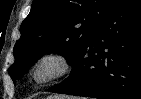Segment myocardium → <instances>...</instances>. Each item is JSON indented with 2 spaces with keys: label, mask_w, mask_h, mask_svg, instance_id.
<instances>
[{
  "label": "myocardium",
  "mask_w": 141,
  "mask_h": 99,
  "mask_svg": "<svg viewBox=\"0 0 141 99\" xmlns=\"http://www.w3.org/2000/svg\"><path fill=\"white\" fill-rule=\"evenodd\" d=\"M46 62H52L57 65V71L45 79L37 78L38 69ZM73 69L71 57L64 51L51 50L38 56L29 70L30 80L38 86H46L59 81L68 76Z\"/></svg>",
  "instance_id": "f54148a6"
}]
</instances>
